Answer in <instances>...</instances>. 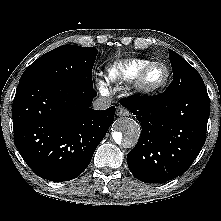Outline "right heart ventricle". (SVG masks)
<instances>
[{
	"mask_svg": "<svg viewBox=\"0 0 221 221\" xmlns=\"http://www.w3.org/2000/svg\"><path fill=\"white\" fill-rule=\"evenodd\" d=\"M151 62V60L143 58L115 61L106 68V80L109 83L132 82Z\"/></svg>",
	"mask_w": 221,
	"mask_h": 221,
	"instance_id": "obj_1",
	"label": "right heart ventricle"
}]
</instances>
